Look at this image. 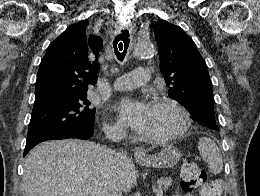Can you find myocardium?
Masks as SVG:
<instances>
[{"label": "myocardium", "instance_id": "obj_1", "mask_svg": "<svg viewBox=\"0 0 260 196\" xmlns=\"http://www.w3.org/2000/svg\"><path fill=\"white\" fill-rule=\"evenodd\" d=\"M153 104L166 105L172 108L179 116L180 122L177 127L162 134L150 135L148 140L151 142H165L178 137L184 133L190 124L189 112L175 99L168 96H156L152 99Z\"/></svg>", "mask_w": 260, "mask_h": 196}]
</instances>
